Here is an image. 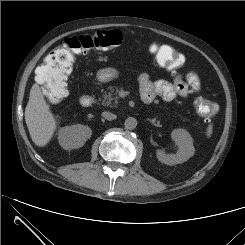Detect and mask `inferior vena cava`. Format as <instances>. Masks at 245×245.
Wrapping results in <instances>:
<instances>
[{
	"mask_svg": "<svg viewBox=\"0 0 245 245\" xmlns=\"http://www.w3.org/2000/svg\"><path fill=\"white\" fill-rule=\"evenodd\" d=\"M102 116L109 121L116 119V115L108 111L103 112Z\"/></svg>",
	"mask_w": 245,
	"mask_h": 245,
	"instance_id": "obj_1",
	"label": "inferior vena cava"
}]
</instances>
